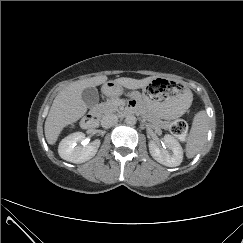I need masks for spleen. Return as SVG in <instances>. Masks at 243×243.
<instances>
[{
    "instance_id": "spleen-1",
    "label": "spleen",
    "mask_w": 243,
    "mask_h": 243,
    "mask_svg": "<svg viewBox=\"0 0 243 243\" xmlns=\"http://www.w3.org/2000/svg\"><path fill=\"white\" fill-rule=\"evenodd\" d=\"M209 118L206 111H199L193 120L190 133L187 137L185 152L187 158H193L203 148L208 132Z\"/></svg>"
}]
</instances>
